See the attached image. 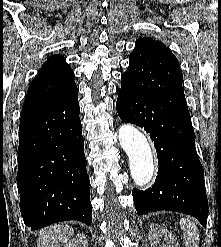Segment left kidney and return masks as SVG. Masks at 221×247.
<instances>
[{
  "instance_id": "1",
  "label": "left kidney",
  "mask_w": 221,
  "mask_h": 247,
  "mask_svg": "<svg viewBox=\"0 0 221 247\" xmlns=\"http://www.w3.org/2000/svg\"><path fill=\"white\" fill-rule=\"evenodd\" d=\"M151 247H180L177 238L172 235L166 228L158 224H152L148 235ZM166 240V244L161 240Z\"/></svg>"
}]
</instances>
